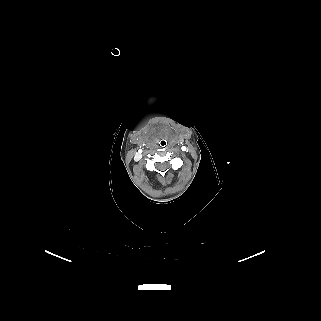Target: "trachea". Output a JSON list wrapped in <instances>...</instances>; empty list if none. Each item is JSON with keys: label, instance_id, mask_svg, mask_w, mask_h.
<instances>
[{"label": "trachea", "instance_id": "trachea-1", "mask_svg": "<svg viewBox=\"0 0 321 321\" xmlns=\"http://www.w3.org/2000/svg\"><path fill=\"white\" fill-rule=\"evenodd\" d=\"M160 147L161 148H166L167 147V142L164 139L160 142Z\"/></svg>", "mask_w": 321, "mask_h": 321}]
</instances>
